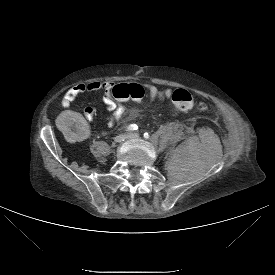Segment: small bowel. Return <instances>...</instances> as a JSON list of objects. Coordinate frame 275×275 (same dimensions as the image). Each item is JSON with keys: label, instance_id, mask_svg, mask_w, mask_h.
<instances>
[{"label": "small bowel", "instance_id": "obj_1", "mask_svg": "<svg viewBox=\"0 0 275 275\" xmlns=\"http://www.w3.org/2000/svg\"><path fill=\"white\" fill-rule=\"evenodd\" d=\"M127 85V84H121ZM115 84L111 81H94L90 83H79L69 88L63 96L62 103L64 106H69L79 95L92 92L102 91V102L104 107L110 112L107 125L113 127L125 114V106L120 99L113 96ZM148 91L150 101H164L171 96V90H161L154 85H144ZM96 114L95 108L87 106L83 111V116L86 121H91ZM85 119L81 114L67 110L58 118V127L66 141L76 145L83 143L89 135V128Z\"/></svg>", "mask_w": 275, "mask_h": 275}]
</instances>
